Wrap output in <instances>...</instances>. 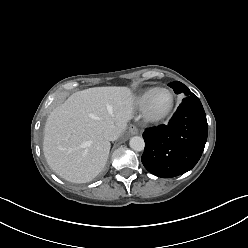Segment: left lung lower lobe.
I'll return each mask as SVG.
<instances>
[{
    "label": "left lung lower lobe",
    "instance_id": "0a47b994",
    "mask_svg": "<svg viewBox=\"0 0 248 248\" xmlns=\"http://www.w3.org/2000/svg\"><path fill=\"white\" fill-rule=\"evenodd\" d=\"M207 134L208 124L200 100L194 94L187 96L168 125L144 131L142 163L158 177L181 175L200 159Z\"/></svg>",
    "mask_w": 248,
    "mask_h": 248
}]
</instances>
